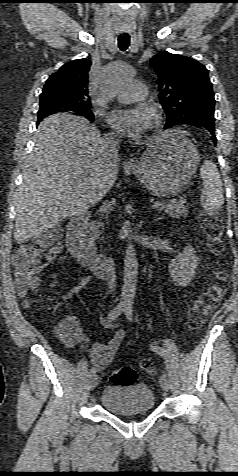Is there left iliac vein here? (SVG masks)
Listing matches in <instances>:
<instances>
[{
	"instance_id": "1",
	"label": "left iliac vein",
	"mask_w": 238,
	"mask_h": 476,
	"mask_svg": "<svg viewBox=\"0 0 238 476\" xmlns=\"http://www.w3.org/2000/svg\"><path fill=\"white\" fill-rule=\"evenodd\" d=\"M159 383L163 391L167 392L169 390V380L165 373L161 374Z\"/></svg>"
}]
</instances>
